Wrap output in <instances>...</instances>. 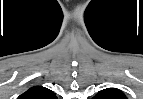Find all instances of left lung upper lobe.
Segmentation results:
<instances>
[{"label":"left lung upper lobe","instance_id":"1","mask_svg":"<svg viewBox=\"0 0 143 99\" xmlns=\"http://www.w3.org/2000/svg\"><path fill=\"white\" fill-rule=\"evenodd\" d=\"M93 99H126V96L117 88H106L98 92Z\"/></svg>","mask_w":143,"mask_h":99}]
</instances>
